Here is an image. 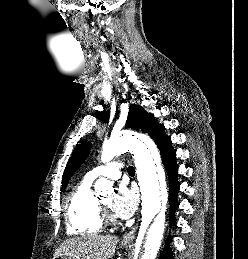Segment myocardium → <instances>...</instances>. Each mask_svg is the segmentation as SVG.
Instances as JSON below:
<instances>
[{
	"label": "myocardium",
	"mask_w": 248,
	"mask_h": 259,
	"mask_svg": "<svg viewBox=\"0 0 248 259\" xmlns=\"http://www.w3.org/2000/svg\"><path fill=\"white\" fill-rule=\"evenodd\" d=\"M99 208L103 223L114 224L117 221L116 217L111 213L110 208L102 201H99Z\"/></svg>",
	"instance_id": "obj_1"
}]
</instances>
